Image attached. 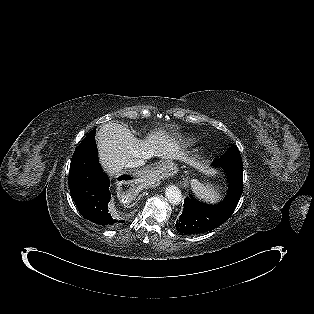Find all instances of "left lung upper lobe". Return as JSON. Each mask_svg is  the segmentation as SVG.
<instances>
[{
    "label": "left lung upper lobe",
    "instance_id": "1",
    "mask_svg": "<svg viewBox=\"0 0 314 314\" xmlns=\"http://www.w3.org/2000/svg\"><path fill=\"white\" fill-rule=\"evenodd\" d=\"M213 166L222 168H242V158L238 148L232 145L218 160L213 161Z\"/></svg>",
    "mask_w": 314,
    "mask_h": 314
}]
</instances>
